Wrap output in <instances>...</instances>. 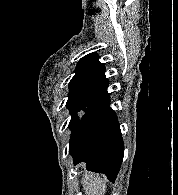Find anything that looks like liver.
Wrapping results in <instances>:
<instances>
[{"label": "liver", "mask_w": 178, "mask_h": 195, "mask_svg": "<svg viewBox=\"0 0 178 195\" xmlns=\"http://www.w3.org/2000/svg\"><path fill=\"white\" fill-rule=\"evenodd\" d=\"M83 189L86 195H105L106 180L91 172H86L82 178Z\"/></svg>", "instance_id": "6515ba94"}]
</instances>
